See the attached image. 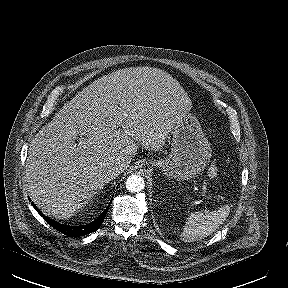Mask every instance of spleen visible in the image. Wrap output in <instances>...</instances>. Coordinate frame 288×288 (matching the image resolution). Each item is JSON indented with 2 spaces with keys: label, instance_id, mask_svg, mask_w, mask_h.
<instances>
[{
  "label": "spleen",
  "instance_id": "obj_1",
  "mask_svg": "<svg viewBox=\"0 0 288 288\" xmlns=\"http://www.w3.org/2000/svg\"><path fill=\"white\" fill-rule=\"evenodd\" d=\"M229 212V206H223L209 213L201 211L191 213L180 234L181 240L194 242L209 236L226 220Z\"/></svg>",
  "mask_w": 288,
  "mask_h": 288
}]
</instances>
